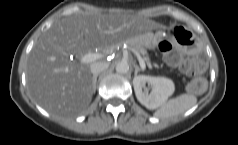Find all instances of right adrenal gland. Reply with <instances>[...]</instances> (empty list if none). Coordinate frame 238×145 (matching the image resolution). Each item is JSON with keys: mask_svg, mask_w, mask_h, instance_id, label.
Instances as JSON below:
<instances>
[{"mask_svg": "<svg viewBox=\"0 0 238 145\" xmlns=\"http://www.w3.org/2000/svg\"><path fill=\"white\" fill-rule=\"evenodd\" d=\"M98 75L93 76V90L96 91V82H97Z\"/></svg>", "mask_w": 238, "mask_h": 145, "instance_id": "right-adrenal-gland-1", "label": "right adrenal gland"}]
</instances>
